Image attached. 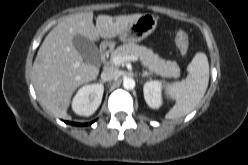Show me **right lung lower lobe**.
Returning a JSON list of instances; mask_svg holds the SVG:
<instances>
[{"mask_svg": "<svg viewBox=\"0 0 248 165\" xmlns=\"http://www.w3.org/2000/svg\"><path fill=\"white\" fill-rule=\"evenodd\" d=\"M66 123L71 124V125H76V126L82 125V124H79V123H74V122H69V121H66Z\"/></svg>", "mask_w": 248, "mask_h": 165, "instance_id": "98d812e1", "label": "right lung lower lobe"}]
</instances>
